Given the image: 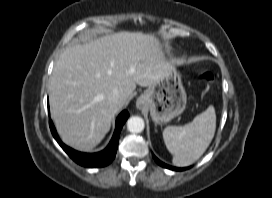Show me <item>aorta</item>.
<instances>
[{"mask_svg": "<svg viewBox=\"0 0 272 198\" xmlns=\"http://www.w3.org/2000/svg\"><path fill=\"white\" fill-rule=\"evenodd\" d=\"M144 120L141 117L133 116L127 121V129L132 133H140L144 130Z\"/></svg>", "mask_w": 272, "mask_h": 198, "instance_id": "762f6f07", "label": "aorta"}]
</instances>
